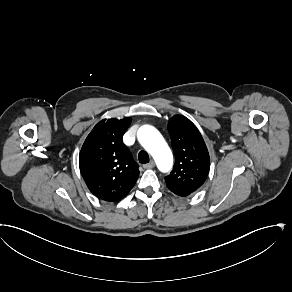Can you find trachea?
Masks as SVG:
<instances>
[{
    "label": "trachea",
    "instance_id": "trachea-1",
    "mask_svg": "<svg viewBox=\"0 0 292 292\" xmlns=\"http://www.w3.org/2000/svg\"><path fill=\"white\" fill-rule=\"evenodd\" d=\"M138 160L142 164L148 163L150 161L148 153L144 150H141L138 154Z\"/></svg>",
    "mask_w": 292,
    "mask_h": 292
}]
</instances>
